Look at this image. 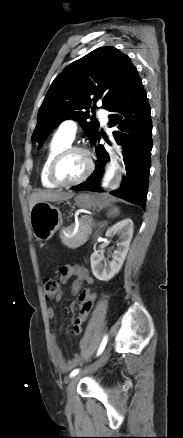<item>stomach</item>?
<instances>
[{"instance_id":"0dacf381","label":"stomach","mask_w":183,"mask_h":438,"mask_svg":"<svg viewBox=\"0 0 183 438\" xmlns=\"http://www.w3.org/2000/svg\"><path fill=\"white\" fill-rule=\"evenodd\" d=\"M80 208H91L99 201L95 196L79 194L74 198ZM30 224L34 236L38 241H47L63 224L59 208L48 202L36 203L30 210Z\"/></svg>"}]
</instances>
